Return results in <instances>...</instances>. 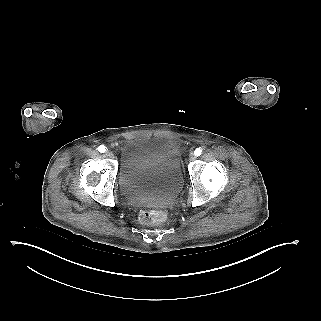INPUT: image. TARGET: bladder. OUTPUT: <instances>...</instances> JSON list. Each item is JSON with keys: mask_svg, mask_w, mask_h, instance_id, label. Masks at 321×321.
<instances>
[{"mask_svg": "<svg viewBox=\"0 0 321 321\" xmlns=\"http://www.w3.org/2000/svg\"><path fill=\"white\" fill-rule=\"evenodd\" d=\"M118 182L122 193L134 204L171 202L184 182L178 147L163 138L127 140L121 150Z\"/></svg>", "mask_w": 321, "mask_h": 321, "instance_id": "1", "label": "bladder"}]
</instances>
